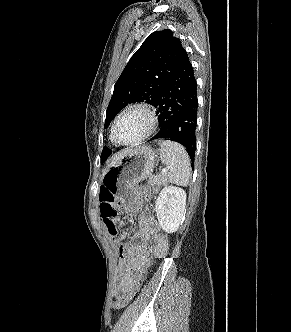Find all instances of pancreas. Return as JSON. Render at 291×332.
Returning <instances> with one entry per match:
<instances>
[{"instance_id": "1", "label": "pancreas", "mask_w": 291, "mask_h": 332, "mask_svg": "<svg viewBox=\"0 0 291 332\" xmlns=\"http://www.w3.org/2000/svg\"><path fill=\"white\" fill-rule=\"evenodd\" d=\"M148 184L152 186H156V188H159L161 186L166 185V181L163 175H157L153 176L148 180Z\"/></svg>"}]
</instances>
